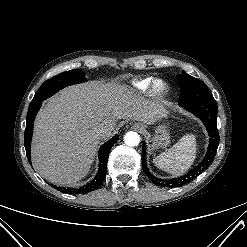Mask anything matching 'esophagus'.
<instances>
[{
  "label": "esophagus",
  "instance_id": "1",
  "mask_svg": "<svg viewBox=\"0 0 247 247\" xmlns=\"http://www.w3.org/2000/svg\"><path fill=\"white\" fill-rule=\"evenodd\" d=\"M139 130H143L144 127L142 125H138Z\"/></svg>",
  "mask_w": 247,
  "mask_h": 247
}]
</instances>
